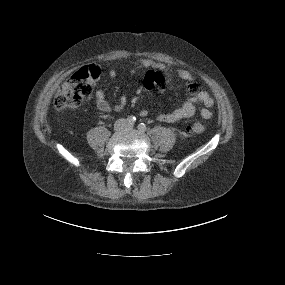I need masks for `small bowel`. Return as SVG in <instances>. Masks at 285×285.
<instances>
[{
  "label": "small bowel",
  "mask_w": 285,
  "mask_h": 285,
  "mask_svg": "<svg viewBox=\"0 0 285 285\" xmlns=\"http://www.w3.org/2000/svg\"><path fill=\"white\" fill-rule=\"evenodd\" d=\"M138 64L141 67L149 69L144 78V86L148 91H153L154 89H157L158 91L163 90L164 73H175L178 75V77L186 82L189 96L184 100L181 107L170 112L160 113L157 116L159 121L174 123L191 118L196 114L205 120L211 118L212 112L210 108L214 105V100L207 91L200 90L196 79L189 71L159 64L151 59H141L139 60ZM116 75L117 73L115 70L109 71V76L111 78H115ZM94 103L102 112H117L123 108L125 100L122 98L119 103L112 105L106 100L103 91L96 90L94 95ZM197 105L202 106L198 112L196 110ZM145 114V112L142 113V115Z\"/></svg>",
  "instance_id": "small-bowel-1"
}]
</instances>
